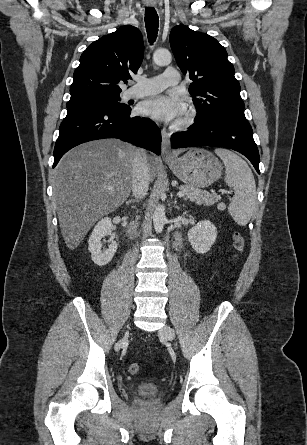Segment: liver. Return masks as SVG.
Returning a JSON list of instances; mask_svg holds the SVG:
<instances>
[{"label":"liver","instance_id":"1","mask_svg":"<svg viewBox=\"0 0 307 445\" xmlns=\"http://www.w3.org/2000/svg\"><path fill=\"white\" fill-rule=\"evenodd\" d=\"M135 152L129 142L102 138L79 144L62 156L53 172V198L68 249H76L96 220L128 198ZM159 162V158L147 156L152 180Z\"/></svg>","mask_w":307,"mask_h":445}]
</instances>
